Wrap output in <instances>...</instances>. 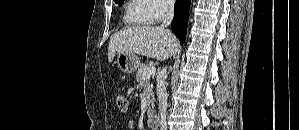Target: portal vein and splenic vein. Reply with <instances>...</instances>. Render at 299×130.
Here are the masks:
<instances>
[{"label": "portal vein and splenic vein", "mask_w": 299, "mask_h": 130, "mask_svg": "<svg viewBox=\"0 0 299 130\" xmlns=\"http://www.w3.org/2000/svg\"><path fill=\"white\" fill-rule=\"evenodd\" d=\"M156 71V68L154 66L152 67H149L148 69H146L144 72H143V78L144 79H149Z\"/></svg>", "instance_id": "1"}]
</instances>
